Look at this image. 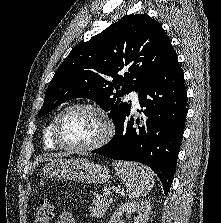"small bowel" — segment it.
<instances>
[{
    "instance_id": "c3829d8e",
    "label": "small bowel",
    "mask_w": 221,
    "mask_h": 223,
    "mask_svg": "<svg viewBox=\"0 0 221 223\" xmlns=\"http://www.w3.org/2000/svg\"><path fill=\"white\" fill-rule=\"evenodd\" d=\"M55 223H76V221L70 211L64 210Z\"/></svg>"
}]
</instances>
